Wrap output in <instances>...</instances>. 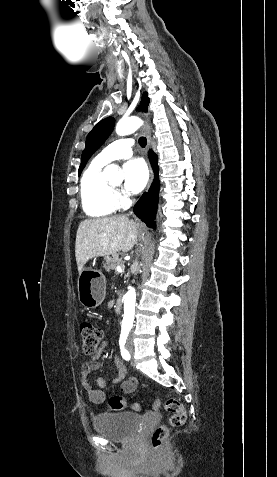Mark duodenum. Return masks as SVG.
<instances>
[{"label": "duodenum", "instance_id": "obj_1", "mask_svg": "<svg viewBox=\"0 0 277 477\" xmlns=\"http://www.w3.org/2000/svg\"><path fill=\"white\" fill-rule=\"evenodd\" d=\"M123 309V300L121 297H118L115 304H114V310L117 314H120Z\"/></svg>", "mask_w": 277, "mask_h": 477}]
</instances>
